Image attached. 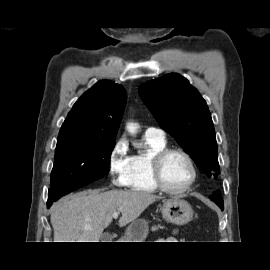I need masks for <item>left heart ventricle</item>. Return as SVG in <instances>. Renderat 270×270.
Returning a JSON list of instances; mask_svg holds the SVG:
<instances>
[{
	"label": "left heart ventricle",
	"mask_w": 270,
	"mask_h": 270,
	"mask_svg": "<svg viewBox=\"0 0 270 270\" xmlns=\"http://www.w3.org/2000/svg\"><path fill=\"white\" fill-rule=\"evenodd\" d=\"M191 169L187 160L178 153L168 155L162 164V177L170 188H181L191 179Z\"/></svg>",
	"instance_id": "b2bd125f"
}]
</instances>
